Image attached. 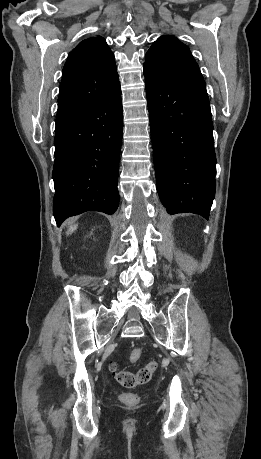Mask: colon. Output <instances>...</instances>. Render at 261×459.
Listing matches in <instances>:
<instances>
[{
  "label": "colon",
  "mask_w": 261,
  "mask_h": 459,
  "mask_svg": "<svg viewBox=\"0 0 261 459\" xmlns=\"http://www.w3.org/2000/svg\"><path fill=\"white\" fill-rule=\"evenodd\" d=\"M142 355L143 352L140 348H134L129 354V360L131 362H136L141 359ZM157 368L158 363L156 361H151L145 367L134 373L128 370H119L117 364L113 361L109 363V369L114 374L116 381L125 388H133L137 385L147 383ZM121 399L125 403H133L136 398L133 394L123 393Z\"/></svg>",
  "instance_id": "5ec220e1"
}]
</instances>
